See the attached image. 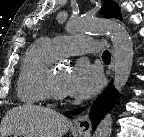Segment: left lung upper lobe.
I'll use <instances>...</instances> for the list:
<instances>
[{
	"label": "left lung upper lobe",
	"mask_w": 144,
	"mask_h": 137,
	"mask_svg": "<svg viewBox=\"0 0 144 137\" xmlns=\"http://www.w3.org/2000/svg\"><path fill=\"white\" fill-rule=\"evenodd\" d=\"M102 14H104L106 18L122 19L118 6L112 0H105L102 7Z\"/></svg>",
	"instance_id": "5c2ea615"
}]
</instances>
